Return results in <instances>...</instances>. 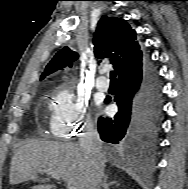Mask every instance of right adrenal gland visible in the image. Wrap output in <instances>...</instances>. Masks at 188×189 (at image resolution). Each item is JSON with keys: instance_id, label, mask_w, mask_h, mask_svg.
<instances>
[{"instance_id": "obj_1", "label": "right adrenal gland", "mask_w": 188, "mask_h": 189, "mask_svg": "<svg viewBox=\"0 0 188 189\" xmlns=\"http://www.w3.org/2000/svg\"><path fill=\"white\" fill-rule=\"evenodd\" d=\"M107 180H108V176L105 175L103 184H102L103 189H109L110 186H112L114 184H118L116 181L108 182Z\"/></svg>"}]
</instances>
